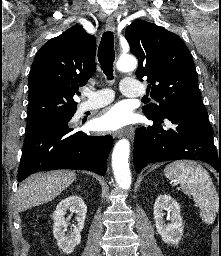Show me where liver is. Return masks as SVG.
Returning <instances> with one entry per match:
<instances>
[{
  "instance_id": "1",
  "label": "liver",
  "mask_w": 221,
  "mask_h": 256,
  "mask_svg": "<svg viewBox=\"0 0 221 256\" xmlns=\"http://www.w3.org/2000/svg\"><path fill=\"white\" fill-rule=\"evenodd\" d=\"M76 179L74 171L54 170L36 173L24 180L17 191L18 211L46 203L58 196Z\"/></svg>"
}]
</instances>
